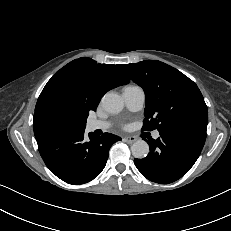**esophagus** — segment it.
Instances as JSON below:
<instances>
[{
  "mask_svg": "<svg viewBox=\"0 0 231 231\" xmlns=\"http://www.w3.org/2000/svg\"><path fill=\"white\" fill-rule=\"evenodd\" d=\"M124 140L127 142V143H133L137 140V137L136 136H126L124 138Z\"/></svg>",
  "mask_w": 231,
  "mask_h": 231,
  "instance_id": "obj_1",
  "label": "esophagus"
}]
</instances>
